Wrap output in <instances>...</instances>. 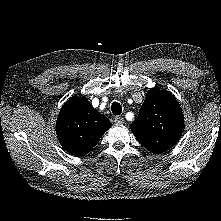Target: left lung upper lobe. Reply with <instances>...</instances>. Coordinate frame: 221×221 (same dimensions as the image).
I'll list each match as a JSON object with an SVG mask.
<instances>
[{
	"mask_svg": "<svg viewBox=\"0 0 221 221\" xmlns=\"http://www.w3.org/2000/svg\"><path fill=\"white\" fill-rule=\"evenodd\" d=\"M131 130L150 152L159 154L174 146L184 130V116L176 98L166 90L150 89Z\"/></svg>",
	"mask_w": 221,
	"mask_h": 221,
	"instance_id": "obj_1",
	"label": "left lung upper lobe"
}]
</instances>
